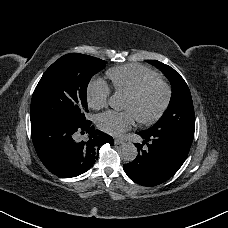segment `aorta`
<instances>
[{
    "label": "aorta",
    "instance_id": "1",
    "mask_svg": "<svg viewBox=\"0 0 228 228\" xmlns=\"http://www.w3.org/2000/svg\"><path fill=\"white\" fill-rule=\"evenodd\" d=\"M109 105L113 109H120L123 105L122 96L118 93L112 95L109 99ZM119 153L124 161L132 162L136 158L138 151L133 143L128 142L121 145Z\"/></svg>",
    "mask_w": 228,
    "mask_h": 228
}]
</instances>
